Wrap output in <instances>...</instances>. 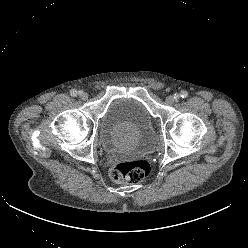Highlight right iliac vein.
I'll return each instance as SVG.
<instances>
[{
    "instance_id": "obj_1",
    "label": "right iliac vein",
    "mask_w": 248,
    "mask_h": 248,
    "mask_svg": "<svg viewBox=\"0 0 248 248\" xmlns=\"http://www.w3.org/2000/svg\"><path fill=\"white\" fill-rule=\"evenodd\" d=\"M79 95H80V97H81V99H83V100H86L87 98H88V94L86 93V92H80L79 93Z\"/></svg>"
}]
</instances>
